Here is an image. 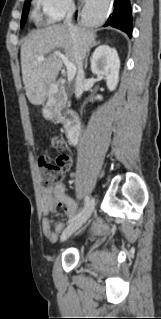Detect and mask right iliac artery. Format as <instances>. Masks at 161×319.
I'll use <instances>...</instances> for the list:
<instances>
[{
  "mask_svg": "<svg viewBox=\"0 0 161 319\" xmlns=\"http://www.w3.org/2000/svg\"><path fill=\"white\" fill-rule=\"evenodd\" d=\"M89 204H90V198L86 196L84 209L81 212H79L74 218L70 219L68 222H72L74 219L79 218L84 213V211L89 207Z\"/></svg>",
  "mask_w": 161,
  "mask_h": 319,
  "instance_id": "1",
  "label": "right iliac artery"
}]
</instances>
